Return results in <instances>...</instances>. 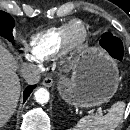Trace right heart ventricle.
I'll return each instance as SVG.
<instances>
[{"mask_svg":"<svg viewBox=\"0 0 130 130\" xmlns=\"http://www.w3.org/2000/svg\"><path fill=\"white\" fill-rule=\"evenodd\" d=\"M70 22H66L58 27L48 28L32 35L27 42L31 57L35 60L42 61L53 57L61 51L66 28Z\"/></svg>","mask_w":130,"mask_h":130,"instance_id":"right-heart-ventricle-1","label":"right heart ventricle"}]
</instances>
